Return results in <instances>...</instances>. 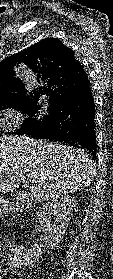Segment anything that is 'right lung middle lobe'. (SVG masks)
Listing matches in <instances>:
<instances>
[{"instance_id":"dd1d6c3e","label":"right lung middle lobe","mask_w":113,"mask_h":279,"mask_svg":"<svg viewBox=\"0 0 113 279\" xmlns=\"http://www.w3.org/2000/svg\"><path fill=\"white\" fill-rule=\"evenodd\" d=\"M13 107L18 108L22 113L28 115L27 119L23 121L21 128L15 133L20 135L25 134L35 127L48 123L57 113V106L52 103H49L47 107L39 105L38 103H27Z\"/></svg>"}]
</instances>
